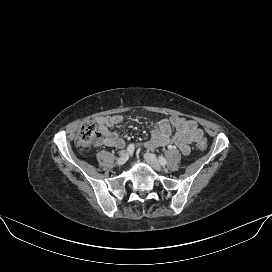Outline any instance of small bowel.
Segmentation results:
<instances>
[{
    "label": "small bowel",
    "instance_id": "obj_1",
    "mask_svg": "<svg viewBox=\"0 0 272 272\" xmlns=\"http://www.w3.org/2000/svg\"><path fill=\"white\" fill-rule=\"evenodd\" d=\"M121 115H110L99 117L97 122L101 136L95 142V146L106 145L121 149L125 146V140L119 137L110 128L121 123ZM203 138V131L193 120L182 116H171L169 119H161L156 122L150 139L145 143V147L155 150L170 144L176 145L179 150L188 155L191 151L190 144L199 142Z\"/></svg>",
    "mask_w": 272,
    "mask_h": 272
}]
</instances>
